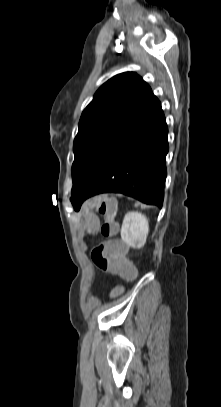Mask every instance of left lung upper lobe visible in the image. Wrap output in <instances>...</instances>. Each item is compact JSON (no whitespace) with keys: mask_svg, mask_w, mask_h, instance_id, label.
<instances>
[{"mask_svg":"<svg viewBox=\"0 0 221 407\" xmlns=\"http://www.w3.org/2000/svg\"><path fill=\"white\" fill-rule=\"evenodd\" d=\"M153 95L133 72L105 82L83 111L74 139L71 200L84 187L140 107Z\"/></svg>","mask_w":221,"mask_h":407,"instance_id":"5c2ea615","label":"left lung upper lobe"}]
</instances>
